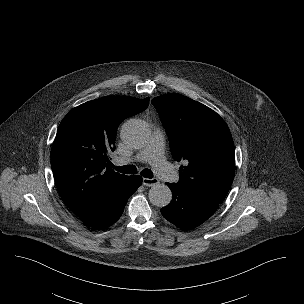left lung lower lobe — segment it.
I'll use <instances>...</instances> for the list:
<instances>
[{
	"label": "left lung lower lobe",
	"mask_w": 304,
	"mask_h": 304,
	"mask_svg": "<svg viewBox=\"0 0 304 304\" xmlns=\"http://www.w3.org/2000/svg\"><path fill=\"white\" fill-rule=\"evenodd\" d=\"M173 193L168 206L161 208L162 215L175 226L192 229L210 218L219 204L182 189L175 183H166Z\"/></svg>",
	"instance_id": "obj_1"
}]
</instances>
